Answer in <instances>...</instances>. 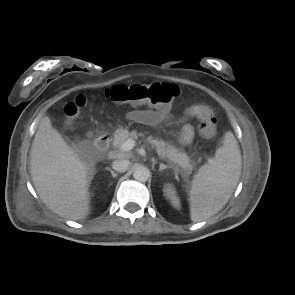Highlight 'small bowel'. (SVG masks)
I'll list each match as a JSON object with an SVG mask.
<instances>
[{"mask_svg": "<svg viewBox=\"0 0 295 295\" xmlns=\"http://www.w3.org/2000/svg\"><path fill=\"white\" fill-rule=\"evenodd\" d=\"M170 117L168 109H147L131 110L126 113V118L136 123L157 126ZM188 119H198L203 121L207 118L214 117L212 108L204 103L193 105L187 113ZM194 137V127L190 122H186L179 134L178 140L182 145H189Z\"/></svg>", "mask_w": 295, "mask_h": 295, "instance_id": "small-bowel-1", "label": "small bowel"}]
</instances>
